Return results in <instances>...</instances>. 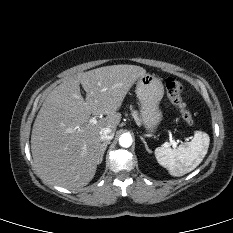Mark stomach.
Segmentation results:
<instances>
[{
	"label": "stomach",
	"instance_id": "obj_1",
	"mask_svg": "<svg viewBox=\"0 0 233 233\" xmlns=\"http://www.w3.org/2000/svg\"><path fill=\"white\" fill-rule=\"evenodd\" d=\"M135 92L140 102V120L145 129L153 133L163 117L159 108L164 95L162 81L154 75L145 74L137 80Z\"/></svg>",
	"mask_w": 233,
	"mask_h": 233
}]
</instances>
